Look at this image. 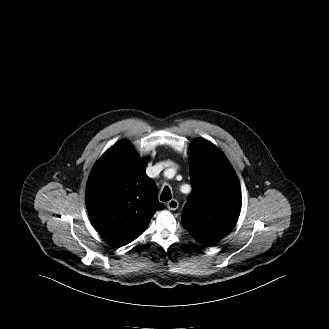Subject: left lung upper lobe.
<instances>
[{
	"instance_id": "1",
	"label": "left lung upper lobe",
	"mask_w": 329,
	"mask_h": 329,
	"mask_svg": "<svg viewBox=\"0 0 329 329\" xmlns=\"http://www.w3.org/2000/svg\"><path fill=\"white\" fill-rule=\"evenodd\" d=\"M192 193L185 205L182 225L202 245H212L235 225L241 210V191L225 155L205 139L189 151Z\"/></svg>"
}]
</instances>
